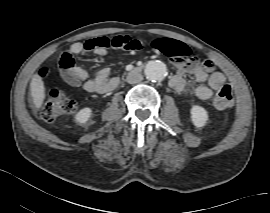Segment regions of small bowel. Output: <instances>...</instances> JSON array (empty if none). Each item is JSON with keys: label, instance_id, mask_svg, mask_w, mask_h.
Returning <instances> with one entry per match:
<instances>
[{"label": "small bowel", "instance_id": "small-bowel-1", "mask_svg": "<svg viewBox=\"0 0 270 213\" xmlns=\"http://www.w3.org/2000/svg\"><path fill=\"white\" fill-rule=\"evenodd\" d=\"M179 44L181 45L179 53L170 57L176 69V74L170 81L171 87L178 93H187L189 88L185 76L191 74L200 83L194 90L195 95L201 99H209L214 91L228 83L227 76L221 71H214V63L211 60H208L209 68L197 64L193 51L185 44ZM139 48L140 44L137 40L128 36L97 37L66 47L61 57L73 59L74 55L83 54L86 51H94L97 57H104L110 50L136 51ZM158 49L162 50L160 47ZM61 75L71 86H82L89 93L105 94L114 90L119 83L117 77H110L108 68L99 70L93 79L89 77L85 69L77 65H73L69 70L62 68Z\"/></svg>", "mask_w": 270, "mask_h": 213}]
</instances>
